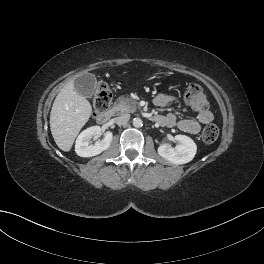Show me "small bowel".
<instances>
[{
    "label": "small bowel",
    "mask_w": 264,
    "mask_h": 264,
    "mask_svg": "<svg viewBox=\"0 0 264 264\" xmlns=\"http://www.w3.org/2000/svg\"><path fill=\"white\" fill-rule=\"evenodd\" d=\"M174 98L168 94H158L154 98V104L158 107L168 106ZM213 114L206 110L199 112L194 118L190 119H178L177 115L174 113H169L167 115H157L156 122L166 127H176L181 131L189 134H198L201 127L213 121Z\"/></svg>",
    "instance_id": "c3829d8e"
}]
</instances>
